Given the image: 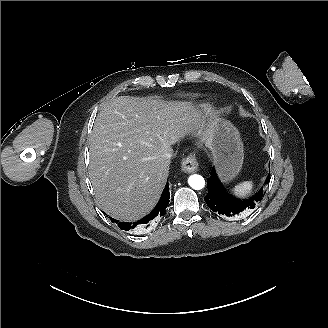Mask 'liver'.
Returning a JSON list of instances; mask_svg holds the SVG:
<instances>
[{
  "mask_svg": "<svg viewBox=\"0 0 328 328\" xmlns=\"http://www.w3.org/2000/svg\"><path fill=\"white\" fill-rule=\"evenodd\" d=\"M190 103L157 97L114 98L95 119L90 142V179L97 204L114 218L146 215L165 186L171 146L204 127Z\"/></svg>",
  "mask_w": 328,
  "mask_h": 328,
  "instance_id": "obj_1",
  "label": "liver"
}]
</instances>
